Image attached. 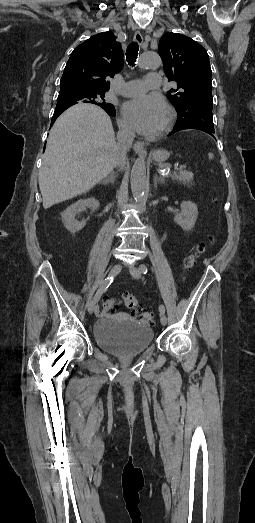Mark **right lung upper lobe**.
Here are the masks:
<instances>
[{
  "mask_svg": "<svg viewBox=\"0 0 255 523\" xmlns=\"http://www.w3.org/2000/svg\"><path fill=\"white\" fill-rule=\"evenodd\" d=\"M123 67V51L113 32L107 31L92 36L71 53L60 82V90L79 89L104 92L109 90L113 77ZM77 102L57 103L51 124L70 106ZM109 115L115 116V108L104 100L93 102Z\"/></svg>",
  "mask_w": 255,
  "mask_h": 523,
  "instance_id": "1",
  "label": "right lung upper lobe"
}]
</instances>
